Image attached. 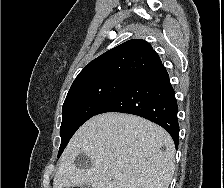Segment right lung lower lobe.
Listing matches in <instances>:
<instances>
[{
	"label": "right lung lower lobe",
	"instance_id": "obj_1",
	"mask_svg": "<svg viewBox=\"0 0 224 188\" xmlns=\"http://www.w3.org/2000/svg\"><path fill=\"white\" fill-rule=\"evenodd\" d=\"M106 112L129 113L162 126L178 147V105L168 73L161 62L134 78L122 91L102 106L96 115Z\"/></svg>",
	"mask_w": 224,
	"mask_h": 188
}]
</instances>
